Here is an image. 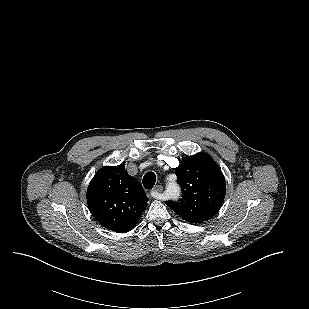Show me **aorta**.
I'll use <instances>...</instances> for the list:
<instances>
[{"label": "aorta", "instance_id": "1", "mask_svg": "<svg viewBox=\"0 0 309 309\" xmlns=\"http://www.w3.org/2000/svg\"><path fill=\"white\" fill-rule=\"evenodd\" d=\"M167 192L172 198H177L179 196V187L175 183L167 184Z\"/></svg>", "mask_w": 309, "mask_h": 309}]
</instances>
